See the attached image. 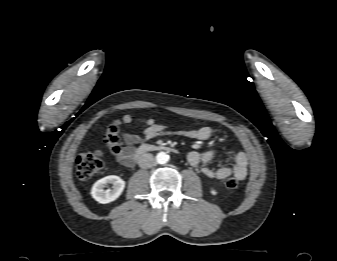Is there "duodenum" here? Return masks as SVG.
<instances>
[{
  "label": "duodenum",
  "instance_id": "duodenum-1",
  "mask_svg": "<svg viewBox=\"0 0 337 261\" xmlns=\"http://www.w3.org/2000/svg\"><path fill=\"white\" fill-rule=\"evenodd\" d=\"M153 151H176L174 148L165 145L143 144L134 153L133 161L139 160L141 157Z\"/></svg>",
  "mask_w": 337,
  "mask_h": 261
}]
</instances>
